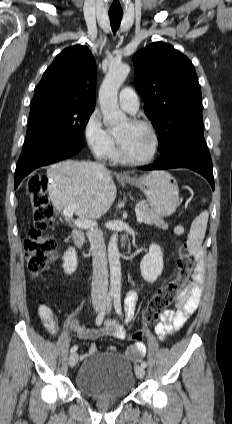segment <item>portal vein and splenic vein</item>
I'll list each match as a JSON object with an SVG mask.
<instances>
[{"label": "portal vein and splenic vein", "mask_w": 232, "mask_h": 424, "mask_svg": "<svg viewBox=\"0 0 232 424\" xmlns=\"http://www.w3.org/2000/svg\"><path fill=\"white\" fill-rule=\"evenodd\" d=\"M76 207L77 206L75 204H72V205L67 206L64 209L63 213H64V215H65V217L67 219H71L72 218V215H73ZM136 217H137V222H142L143 221V216L139 212L136 214ZM74 225L76 227H78V228H81V229H88V228H91V227L95 226L96 223L93 222L92 220L77 219V220L74 221Z\"/></svg>", "instance_id": "1"}]
</instances>
